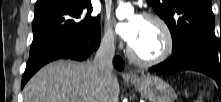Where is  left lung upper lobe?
Listing matches in <instances>:
<instances>
[{"mask_svg":"<svg viewBox=\"0 0 221 102\" xmlns=\"http://www.w3.org/2000/svg\"><path fill=\"white\" fill-rule=\"evenodd\" d=\"M168 25L173 51L188 43H197L221 53L214 33V14L211 0H147Z\"/></svg>","mask_w":221,"mask_h":102,"instance_id":"obj_1","label":"left lung upper lobe"}]
</instances>
